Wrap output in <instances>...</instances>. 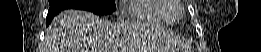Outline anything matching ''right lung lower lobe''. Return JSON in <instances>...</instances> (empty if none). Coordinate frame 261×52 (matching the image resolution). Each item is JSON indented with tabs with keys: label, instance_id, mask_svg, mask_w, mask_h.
<instances>
[{
	"label": "right lung lower lobe",
	"instance_id": "98d812e1",
	"mask_svg": "<svg viewBox=\"0 0 261 52\" xmlns=\"http://www.w3.org/2000/svg\"><path fill=\"white\" fill-rule=\"evenodd\" d=\"M64 9H49L47 14V25L52 21L53 17Z\"/></svg>",
	"mask_w": 261,
	"mask_h": 52
}]
</instances>
